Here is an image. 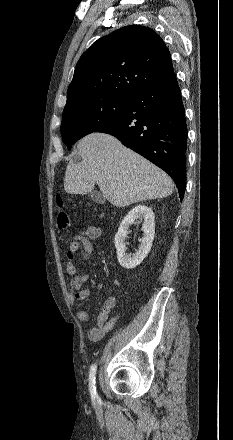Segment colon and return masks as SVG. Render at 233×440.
<instances>
[{"instance_id": "5ec220e1", "label": "colon", "mask_w": 233, "mask_h": 440, "mask_svg": "<svg viewBox=\"0 0 233 440\" xmlns=\"http://www.w3.org/2000/svg\"><path fill=\"white\" fill-rule=\"evenodd\" d=\"M56 225L59 229H67L70 226V220L64 209V201L61 195L57 196Z\"/></svg>"}]
</instances>
